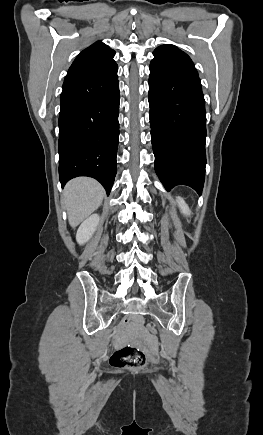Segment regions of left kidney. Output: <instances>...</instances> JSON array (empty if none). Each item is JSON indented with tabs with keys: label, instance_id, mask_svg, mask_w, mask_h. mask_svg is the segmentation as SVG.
I'll return each instance as SVG.
<instances>
[{
	"label": "left kidney",
	"instance_id": "5707ae66",
	"mask_svg": "<svg viewBox=\"0 0 263 435\" xmlns=\"http://www.w3.org/2000/svg\"><path fill=\"white\" fill-rule=\"evenodd\" d=\"M177 199V203H178V205H179V207H180V209H181V212L183 213V214H185V215H190V210H189V207H188V205L185 203V201L183 200V198H181V197H177L176 198Z\"/></svg>",
	"mask_w": 263,
	"mask_h": 435
}]
</instances>
